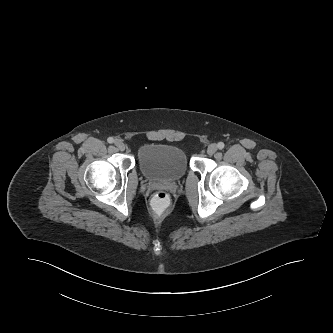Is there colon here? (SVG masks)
Instances as JSON below:
<instances>
[{
    "label": "colon",
    "instance_id": "colon-1",
    "mask_svg": "<svg viewBox=\"0 0 333 333\" xmlns=\"http://www.w3.org/2000/svg\"><path fill=\"white\" fill-rule=\"evenodd\" d=\"M169 194L163 190L157 191L150 200L151 212L156 217H164L168 213Z\"/></svg>",
    "mask_w": 333,
    "mask_h": 333
}]
</instances>
